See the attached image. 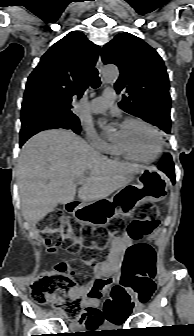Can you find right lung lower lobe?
Returning <instances> with one entry per match:
<instances>
[{
	"mask_svg": "<svg viewBox=\"0 0 194 336\" xmlns=\"http://www.w3.org/2000/svg\"><path fill=\"white\" fill-rule=\"evenodd\" d=\"M25 141H20V147L24 144Z\"/></svg>",
	"mask_w": 194,
	"mask_h": 336,
	"instance_id": "right-lung-lower-lobe-1",
	"label": "right lung lower lobe"
}]
</instances>
